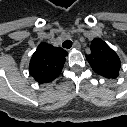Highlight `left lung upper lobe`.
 Segmentation results:
<instances>
[{"instance_id": "1", "label": "left lung upper lobe", "mask_w": 127, "mask_h": 127, "mask_svg": "<svg viewBox=\"0 0 127 127\" xmlns=\"http://www.w3.org/2000/svg\"><path fill=\"white\" fill-rule=\"evenodd\" d=\"M93 70L105 77H115L120 67L116 53L101 39L91 43V54L86 55Z\"/></svg>"}]
</instances>
